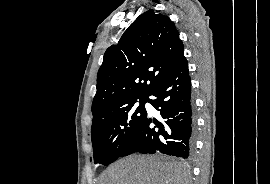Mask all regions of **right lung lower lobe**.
<instances>
[{"instance_id":"98d812e1","label":"right lung lower lobe","mask_w":270,"mask_h":184,"mask_svg":"<svg viewBox=\"0 0 270 184\" xmlns=\"http://www.w3.org/2000/svg\"><path fill=\"white\" fill-rule=\"evenodd\" d=\"M150 95L155 99H149ZM147 102L160 111L165 121H152L146 116L119 157L139 152L189 158L193 152L194 122L186 58L151 90ZM152 122L153 128L150 127Z\"/></svg>"}]
</instances>
